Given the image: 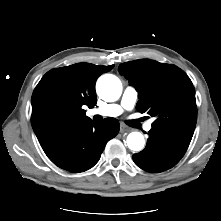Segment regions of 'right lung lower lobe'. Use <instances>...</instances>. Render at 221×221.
<instances>
[{
    "mask_svg": "<svg viewBox=\"0 0 221 221\" xmlns=\"http://www.w3.org/2000/svg\"><path fill=\"white\" fill-rule=\"evenodd\" d=\"M118 131L119 122L115 118H106L99 123L88 120L60 130L41 147L55 165L79 173L98 162L106 143Z\"/></svg>",
    "mask_w": 221,
    "mask_h": 221,
    "instance_id": "obj_1",
    "label": "right lung lower lobe"
}]
</instances>
